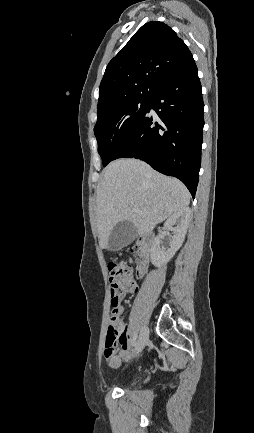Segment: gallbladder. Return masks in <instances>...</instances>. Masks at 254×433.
Here are the masks:
<instances>
[{
  "label": "gallbladder",
  "mask_w": 254,
  "mask_h": 433,
  "mask_svg": "<svg viewBox=\"0 0 254 433\" xmlns=\"http://www.w3.org/2000/svg\"><path fill=\"white\" fill-rule=\"evenodd\" d=\"M137 228L129 221L117 223L109 236V250L117 251L130 244L137 237Z\"/></svg>",
  "instance_id": "gallbladder-1"
}]
</instances>
